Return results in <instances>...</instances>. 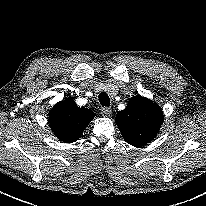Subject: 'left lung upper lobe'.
Returning <instances> with one entry per match:
<instances>
[{
	"instance_id": "1",
	"label": "left lung upper lobe",
	"mask_w": 206,
	"mask_h": 206,
	"mask_svg": "<svg viewBox=\"0 0 206 206\" xmlns=\"http://www.w3.org/2000/svg\"><path fill=\"white\" fill-rule=\"evenodd\" d=\"M163 120L159 105L140 95L129 99L126 108L115 118L126 142L135 147H141L154 139Z\"/></svg>"
}]
</instances>
